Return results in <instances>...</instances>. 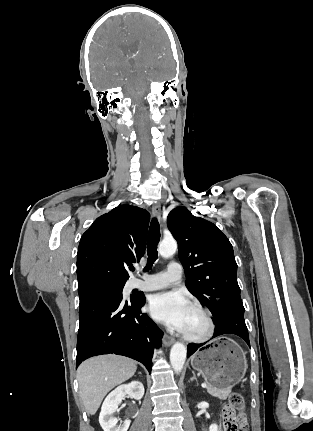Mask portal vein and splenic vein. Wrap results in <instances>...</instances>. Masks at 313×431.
Here are the masks:
<instances>
[{"mask_svg": "<svg viewBox=\"0 0 313 431\" xmlns=\"http://www.w3.org/2000/svg\"><path fill=\"white\" fill-rule=\"evenodd\" d=\"M202 388H207V385L205 383L201 384Z\"/></svg>", "mask_w": 313, "mask_h": 431, "instance_id": "1", "label": "portal vein and splenic vein"}]
</instances>
